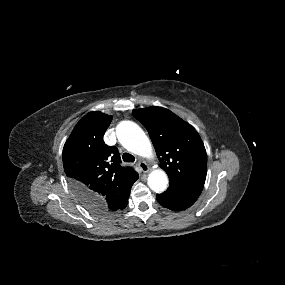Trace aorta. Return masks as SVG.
Returning <instances> with one entry per match:
<instances>
[{
    "label": "aorta",
    "instance_id": "aorta-1",
    "mask_svg": "<svg viewBox=\"0 0 285 285\" xmlns=\"http://www.w3.org/2000/svg\"><path fill=\"white\" fill-rule=\"evenodd\" d=\"M116 134L119 142L128 151L145 158L154 157L149 138L136 123L129 120L120 122ZM147 183L151 190L161 193L167 189L169 180L163 170L156 169L149 174Z\"/></svg>",
    "mask_w": 285,
    "mask_h": 285
}]
</instances>
